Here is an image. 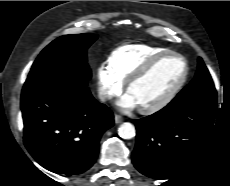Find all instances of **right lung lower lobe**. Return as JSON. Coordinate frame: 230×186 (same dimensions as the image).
Returning <instances> with one entry per match:
<instances>
[{"label": "right lung lower lobe", "instance_id": "obj_1", "mask_svg": "<svg viewBox=\"0 0 230 186\" xmlns=\"http://www.w3.org/2000/svg\"><path fill=\"white\" fill-rule=\"evenodd\" d=\"M88 79L58 70L26 80L21 95L24 143L47 170L80 174L95 162L113 114L87 88Z\"/></svg>", "mask_w": 230, "mask_h": 186}]
</instances>
